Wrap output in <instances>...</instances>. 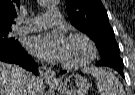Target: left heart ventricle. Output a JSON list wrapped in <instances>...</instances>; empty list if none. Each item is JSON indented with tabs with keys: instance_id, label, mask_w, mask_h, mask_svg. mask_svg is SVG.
Returning <instances> with one entry per match:
<instances>
[{
	"instance_id": "b2bd125f",
	"label": "left heart ventricle",
	"mask_w": 135,
	"mask_h": 95,
	"mask_svg": "<svg viewBox=\"0 0 135 95\" xmlns=\"http://www.w3.org/2000/svg\"><path fill=\"white\" fill-rule=\"evenodd\" d=\"M88 55L86 44L80 39L68 40L63 61L79 62Z\"/></svg>"
}]
</instances>
